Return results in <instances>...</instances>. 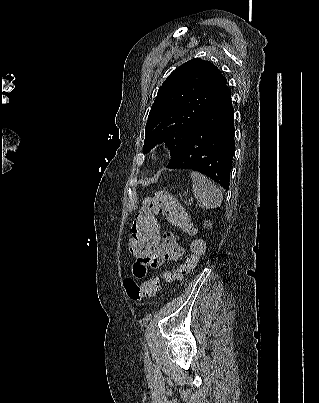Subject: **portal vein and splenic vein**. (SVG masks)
I'll list each match as a JSON object with an SVG mask.
<instances>
[{"label":"portal vein and splenic vein","mask_w":319,"mask_h":403,"mask_svg":"<svg viewBox=\"0 0 319 403\" xmlns=\"http://www.w3.org/2000/svg\"><path fill=\"white\" fill-rule=\"evenodd\" d=\"M192 201H193V199L191 198L190 200L186 201L185 203L188 204V203H190Z\"/></svg>","instance_id":"1"}]
</instances>
